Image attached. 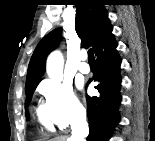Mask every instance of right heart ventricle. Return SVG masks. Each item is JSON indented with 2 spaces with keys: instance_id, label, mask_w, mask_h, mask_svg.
<instances>
[{
  "instance_id": "obj_1",
  "label": "right heart ventricle",
  "mask_w": 155,
  "mask_h": 141,
  "mask_svg": "<svg viewBox=\"0 0 155 141\" xmlns=\"http://www.w3.org/2000/svg\"><path fill=\"white\" fill-rule=\"evenodd\" d=\"M37 116H38L39 122L41 123V125L44 128H46L49 131L53 130V124H52L51 120L49 119L44 108H39L37 110Z\"/></svg>"
}]
</instances>
